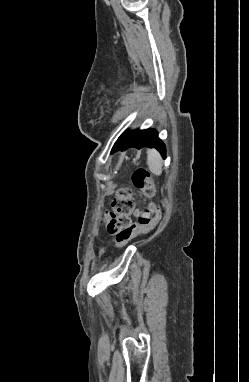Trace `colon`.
Listing matches in <instances>:
<instances>
[{
  "instance_id": "5ec220e1",
  "label": "colon",
  "mask_w": 249,
  "mask_h": 382,
  "mask_svg": "<svg viewBox=\"0 0 249 382\" xmlns=\"http://www.w3.org/2000/svg\"><path fill=\"white\" fill-rule=\"evenodd\" d=\"M133 184L140 188L147 197L155 194L149 173L144 168L137 169L132 175ZM135 201L127 188H120L111 203V211L106 214L107 228L115 234L117 248L124 247L136 234L150 230L156 223L159 207L150 204L138 215L137 220L131 218Z\"/></svg>"
}]
</instances>
